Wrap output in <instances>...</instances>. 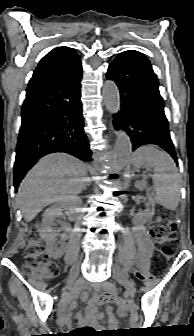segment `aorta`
<instances>
[{
    "label": "aorta",
    "instance_id": "762f6f07",
    "mask_svg": "<svg viewBox=\"0 0 194 336\" xmlns=\"http://www.w3.org/2000/svg\"><path fill=\"white\" fill-rule=\"evenodd\" d=\"M102 94L107 110L111 114L117 115L120 111V94L117 85L113 81H106ZM131 151L132 143L129 136L123 130H119L111 163L113 170L120 171L125 168L131 156Z\"/></svg>",
    "mask_w": 194,
    "mask_h": 336
}]
</instances>
